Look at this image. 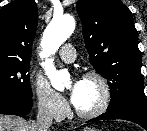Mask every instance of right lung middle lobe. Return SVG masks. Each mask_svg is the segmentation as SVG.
<instances>
[{"instance_id": "1", "label": "right lung middle lobe", "mask_w": 147, "mask_h": 131, "mask_svg": "<svg viewBox=\"0 0 147 131\" xmlns=\"http://www.w3.org/2000/svg\"><path fill=\"white\" fill-rule=\"evenodd\" d=\"M29 67L30 61L0 59V96L31 100Z\"/></svg>"}]
</instances>
